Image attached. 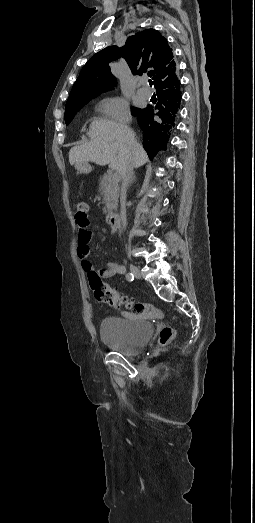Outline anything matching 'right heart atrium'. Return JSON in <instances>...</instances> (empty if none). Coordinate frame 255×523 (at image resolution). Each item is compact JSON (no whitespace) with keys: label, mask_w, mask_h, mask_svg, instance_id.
<instances>
[{"label":"right heart atrium","mask_w":255,"mask_h":523,"mask_svg":"<svg viewBox=\"0 0 255 523\" xmlns=\"http://www.w3.org/2000/svg\"><path fill=\"white\" fill-rule=\"evenodd\" d=\"M100 108L110 123H126L130 119L129 107L118 97H108L101 101Z\"/></svg>","instance_id":"obj_1"}]
</instances>
